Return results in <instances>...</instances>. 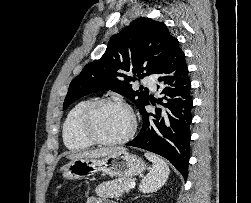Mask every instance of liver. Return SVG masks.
Wrapping results in <instances>:
<instances>
[{"label":"liver","instance_id":"liver-1","mask_svg":"<svg viewBox=\"0 0 251 203\" xmlns=\"http://www.w3.org/2000/svg\"><path fill=\"white\" fill-rule=\"evenodd\" d=\"M119 149H122V148H101V149H96V150H89V151L70 154L69 156H67V158L71 160H76L79 158H104Z\"/></svg>","mask_w":251,"mask_h":203}]
</instances>
